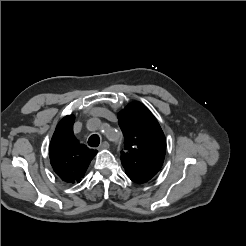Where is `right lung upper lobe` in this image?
Listing matches in <instances>:
<instances>
[{"mask_svg": "<svg viewBox=\"0 0 246 246\" xmlns=\"http://www.w3.org/2000/svg\"><path fill=\"white\" fill-rule=\"evenodd\" d=\"M73 123V115H67L58 123L49 148L53 170L66 183H79L97 154L96 150L79 143L73 133Z\"/></svg>", "mask_w": 246, "mask_h": 246, "instance_id": "right-lung-upper-lobe-1", "label": "right lung upper lobe"}]
</instances>
